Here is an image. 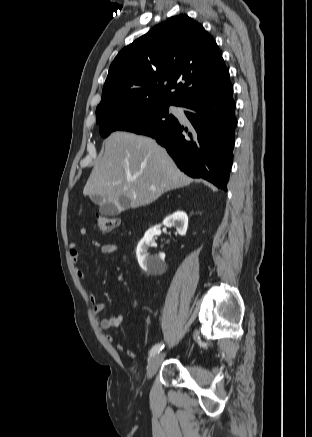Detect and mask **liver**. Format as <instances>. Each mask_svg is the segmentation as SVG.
I'll return each mask as SVG.
<instances>
[{
  "label": "liver",
  "mask_w": 312,
  "mask_h": 437,
  "mask_svg": "<svg viewBox=\"0 0 312 437\" xmlns=\"http://www.w3.org/2000/svg\"><path fill=\"white\" fill-rule=\"evenodd\" d=\"M104 146V155L94 166L84 195H99L114 203L124 197L129 200L128 207L135 209L193 181L150 137L114 132L104 141Z\"/></svg>",
  "instance_id": "1"
}]
</instances>
